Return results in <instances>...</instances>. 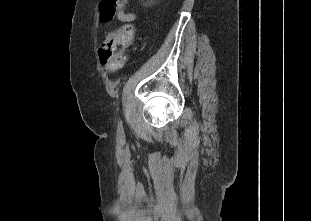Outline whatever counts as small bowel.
<instances>
[{
  "instance_id": "c3829d8e",
  "label": "small bowel",
  "mask_w": 311,
  "mask_h": 221,
  "mask_svg": "<svg viewBox=\"0 0 311 221\" xmlns=\"http://www.w3.org/2000/svg\"><path fill=\"white\" fill-rule=\"evenodd\" d=\"M117 18L121 22L129 23L134 22L137 19V15L135 12H129L125 9H119L117 12Z\"/></svg>"
}]
</instances>
